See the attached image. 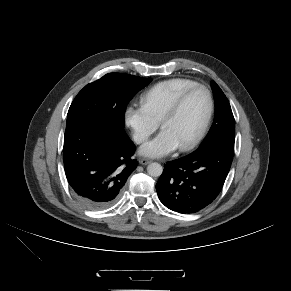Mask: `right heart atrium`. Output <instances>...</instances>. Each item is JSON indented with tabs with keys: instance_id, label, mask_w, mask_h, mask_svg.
Wrapping results in <instances>:
<instances>
[{
	"instance_id": "right-heart-atrium-1",
	"label": "right heart atrium",
	"mask_w": 291,
	"mask_h": 291,
	"mask_svg": "<svg viewBox=\"0 0 291 291\" xmlns=\"http://www.w3.org/2000/svg\"><path fill=\"white\" fill-rule=\"evenodd\" d=\"M124 122L137 143L145 142L158 128L156 121L142 105L130 104L124 111Z\"/></svg>"
}]
</instances>
